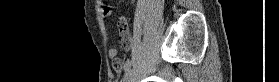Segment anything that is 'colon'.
I'll return each instance as SVG.
<instances>
[{
	"label": "colon",
	"instance_id": "colon-1",
	"mask_svg": "<svg viewBox=\"0 0 279 82\" xmlns=\"http://www.w3.org/2000/svg\"><path fill=\"white\" fill-rule=\"evenodd\" d=\"M126 23H127V20L124 17L119 18L118 25L120 27H124L126 25Z\"/></svg>",
	"mask_w": 279,
	"mask_h": 82
}]
</instances>
